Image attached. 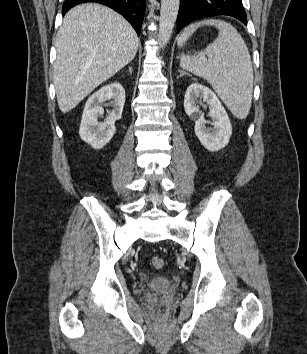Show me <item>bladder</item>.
Returning <instances> with one entry per match:
<instances>
[{
    "mask_svg": "<svg viewBox=\"0 0 307 354\" xmlns=\"http://www.w3.org/2000/svg\"><path fill=\"white\" fill-rule=\"evenodd\" d=\"M152 285L158 290L167 289L170 286V281L164 276H158L153 279Z\"/></svg>",
    "mask_w": 307,
    "mask_h": 354,
    "instance_id": "1",
    "label": "bladder"
}]
</instances>
